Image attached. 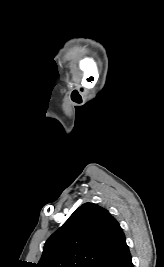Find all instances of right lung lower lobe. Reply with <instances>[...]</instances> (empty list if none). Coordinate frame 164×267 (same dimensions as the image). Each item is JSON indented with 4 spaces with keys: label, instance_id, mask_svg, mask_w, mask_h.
Instances as JSON below:
<instances>
[{
    "label": "right lung lower lobe",
    "instance_id": "obj_1",
    "mask_svg": "<svg viewBox=\"0 0 164 267\" xmlns=\"http://www.w3.org/2000/svg\"><path fill=\"white\" fill-rule=\"evenodd\" d=\"M99 267H134L131 260V254L127 245L110 256Z\"/></svg>",
    "mask_w": 164,
    "mask_h": 267
}]
</instances>
